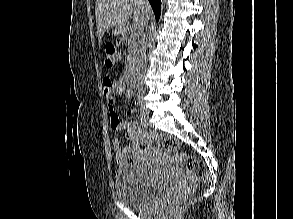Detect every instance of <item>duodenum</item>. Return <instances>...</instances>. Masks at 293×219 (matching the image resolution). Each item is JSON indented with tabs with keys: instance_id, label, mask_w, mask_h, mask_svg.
I'll use <instances>...</instances> for the list:
<instances>
[{
	"instance_id": "410a0bca",
	"label": "duodenum",
	"mask_w": 293,
	"mask_h": 219,
	"mask_svg": "<svg viewBox=\"0 0 293 219\" xmlns=\"http://www.w3.org/2000/svg\"><path fill=\"white\" fill-rule=\"evenodd\" d=\"M122 33H123V36L126 37L127 36V28H124ZM125 81L130 86L136 87V85H137L136 71L133 67L128 69L127 74L125 76Z\"/></svg>"
}]
</instances>
